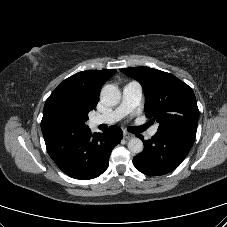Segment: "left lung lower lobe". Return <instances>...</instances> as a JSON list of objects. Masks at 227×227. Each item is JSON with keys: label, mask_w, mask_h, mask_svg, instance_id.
I'll return each instance as SVG.
<instances>
[{"label": "left lung lower lobe", "mask_w": 227, "mask_h": 227, "mask_svg": "<svg viewBox=\"0 0 227 227\" xmlns=\"http://www.w3.org/2000/svg\"><path fill=\"white\" fill-rule=\"evenodd\" d=\"M194 141L195 136L184 132L158 130L151 139L143 141L144 150L133 158V164L146 175L167 174L181 164Z\"/></svg>", "instance_id": "obj_1"}]
</instances>
